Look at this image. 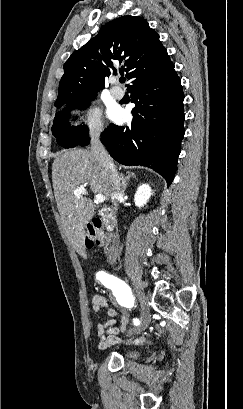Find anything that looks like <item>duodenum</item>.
I'll use <instances>...</instances> for the list:
<instances>
[{
    "mask_svg": "<svg viewBox=\"0 0 243 409\" xmlns=\"http://www.w3.org/2000/svg\"><path fill=\"white\" fill-rule=\"evenodd\" d=\"M99 213H100L101 221L103 225L107 229H111L114 224V217H113L112 211L109 208H102L100 209Z\"/></svg>",
    "mask_w": 243,
    "mask_h": 409,
    "instance_id": "1",
    "label": "duodenum"
}]
</instances>
